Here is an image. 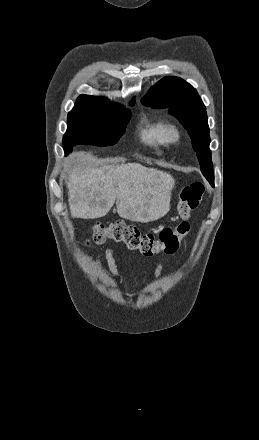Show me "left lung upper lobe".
Returning a JSON list of instances; mask_svg holds the SVG:
<instances>
[{
    "instance_id": "obj_1",
    "label": "left lung upper lobe",
    "mask_w": 259,
    "mask_h": 440,
    "mask_svg": "<svg viewBox=\"0 0 259 440\" xmlns=\"http://www.w3.org/2000/svg\"><path fill=\"white\" fill-rule=\"evenodd\" d=\"M141 102L154 108H169L170 113L188 130L200 169L213 185L214 172L206 108L197 91L179 77H165L151 88Z\"/></svg>"
}]
</instances>
